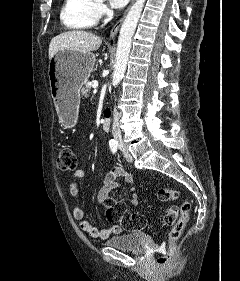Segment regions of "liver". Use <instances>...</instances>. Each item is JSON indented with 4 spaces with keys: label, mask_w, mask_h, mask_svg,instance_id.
Listing matches in <instances>:
<instances>
[{
    "label": "liver",
    "mask_w": 240,
    "mask_h": 281,
    "mask_svg": "<svg viewBox=\"0 0 240 281\" xmlns=\"http://www.w3.org/2000/svg\"><path fill=\"white\" fill-rule=\"evenodd\" d=\"M102 44V38L91 32L72 30L55 36L49 45V59L59 51L70 50L91 52L97 50Z\"/></svg>",
    "instance_id": "1"
}]
</instances>
